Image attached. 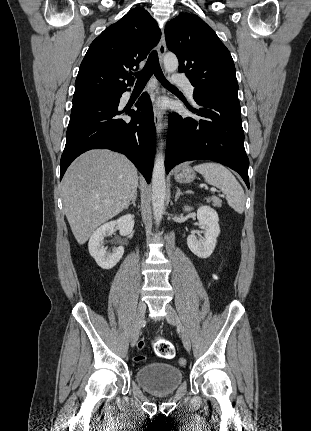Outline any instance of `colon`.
Listing matches in <instances>:
<instances>
[{"label":"colon","instance_id":"1","mask_svg":"<svg viewBox=\"0 0 311 431\" xmlns=\"http://www.w3.org/2000/svg\"><path fill=\"white\" fill-rule=\"evenodd\" d=\"M144 347H145V341L140 340L138 342V349L143 350ZM154 351H155L157 356H159L161 358H165V359H171L175 355V349H174V346L172 345V343H170L169 341L164 340V339H159L155 342ZM134 360L137 362H141V361L145 360V356L142 354L137 355L134 358ZM186 363H187V361L185 358H179L178 359V364L180 366H185Z\"/></svg>","mask_w":311,"mask_h":431}]
</instances>
